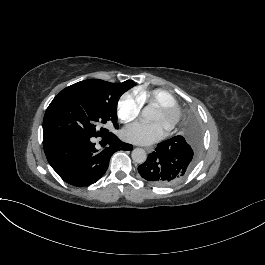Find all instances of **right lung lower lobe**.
Masks as SVG:
<instances>
[{
    "label": "right lung lower lobe",
    "mask_w": 265,
    "mask_h": 265,
    "mask_svg": "<svg viewBox=\"0 0 265 265\" xmlns=\"http://www.w3.org/2000/svg\"><path fill=\"white\" fill-rule=\"evenodd\" d=\"M109 147L98 152L92 138L69 137L44 145L48 162L56 173L73 186H89L98 181L106 172L109 160L118 150H132L131 144L124 143L113 133L103 136Z\"/></svg>",
    "instance_id": "98d812e1"
}]
</instances>
